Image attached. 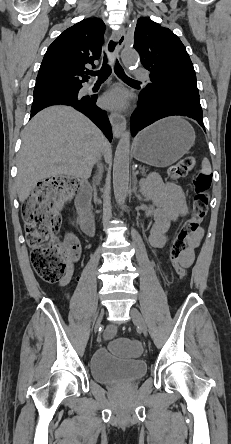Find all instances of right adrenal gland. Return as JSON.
Masks as SVG:
<instances>
[{"label":"right adrenal gland","instance_id":"2a0ac1e0","mask_svg":"<svg viewBox=\"0 0 231 444\" xmlns=\"http://www.w3.org/2000/svg\"><path fill=\"white\" fill-rule=\"evenodd\" d=\"M102 166H99V173L98 175L93 179V183H99L102 177Z\"/></svg>","mask_w":231,"mask_h":444}]
</instances>
